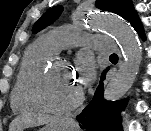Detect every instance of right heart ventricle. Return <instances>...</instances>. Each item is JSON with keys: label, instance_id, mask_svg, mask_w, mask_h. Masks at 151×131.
I'll list each match as a JSON object with an SVG mask.
<instances>
[{"label": "right heart ventricle", "instance_id": "1", "mask_svg": "<svg viewBox=\"0 0 151 131\" xmlns=\"http://www.w3.org/2000/svg\"><path fill=\"white\" fill-rule=\"evenodd\" d=\"M56 52L45 38L36 40L26 49L10 96V104L14 112L25 113L36 109L28 94L30 78L36 68Z\"/></svg>", "mask_w": 151, "mask_h": 131}]
</instances>
